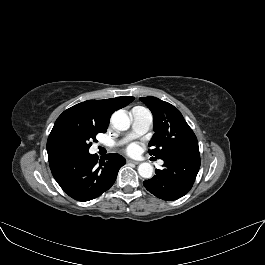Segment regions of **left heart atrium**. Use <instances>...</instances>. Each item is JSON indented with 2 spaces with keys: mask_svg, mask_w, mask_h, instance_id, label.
I'll use <instances>...</instances> for the list:
<instances>
[{
  "mask_svg": "<svg viewBox=\"0 0 265 265\" xmlns=\"http://www.w3.org/2000/svg\"><path fill=\"white\" fill-rule=\"evenodd\" d=\"M127 150L130 153H134L138 150V145L137 144H131V145H129Z\"/></svg>",
  "mask_w": 265,
  "mask_h": 265,
  "instance_id": "1",
  "label": "left heart atrium"
}]
</instances>
